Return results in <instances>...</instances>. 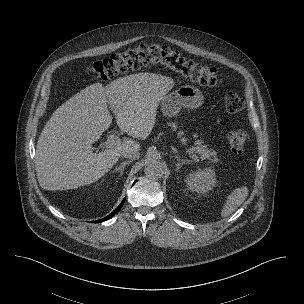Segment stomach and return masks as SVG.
Wrapping results in <instances>:
<instances>
[{
	"label": "stomach",
	"mask_w": 304,
	"mask_h": 304,
	"mask_svg": "<svg viewBox=\"0 0 304 304\" xmlns=\"http://www.w3.org/2000/svg\"><path fill=\"white\" fill-rule=\"evenodd\" d=\"M204 100L202 92L191 85L177 88L161 100V111L167 117H175L182 108H198Z\"/></svg>",
	"instance_id": "obj_1"
}]
</instances>
